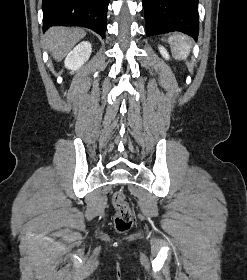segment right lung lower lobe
<instances>
[{
	"label": "right lung lower lobe",
	"instance_id": "obj_1",
	"mask_svg": "<svg viewBox=\"0 0 247 280\" xmlns=\"http://www.w3.org/2000/svg\"><path fill=\"white\" fill-rule=\"evenodd\" d=\"M109 0H43V31L55 25H79L104 38Z\"/></svg>",
	"mask_w": 247,
	"mask_h": 280
}]
</instances>
